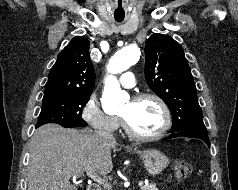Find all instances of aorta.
<instances>
[{
  "mask_svg": "<svg viewBox=\"0 0 238 190\" xmlns=\"http://www.w3.org/2000/svg\"><path fill=\"white\" fill-rule=\"evenodd\" d=\"M140 58V50L130 44L121 50L117 51L109 61L108 72L110 75L105 80L104 93L101 99L102 108L105 113H114L119 109V106L129 99V95L122 91L120 84L114 74L126 71L134 65Z\"/></svg>",
  "mask_w": 238,
  "mask_h": 190,
  "instance_id": "aorta-1",
  "label": "aorta"
}]
</instances>
